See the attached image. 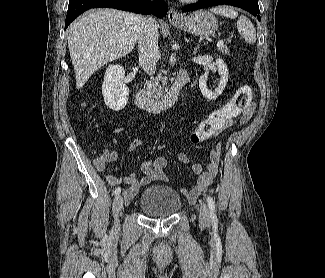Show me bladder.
I'll list each match as a JSON object with an SVG mask.
<instances>
[{
    "mask_svg": "<svg viewBox=\"0 0 325 278\" xmlns=\"http://www.w3.org/2000/svg\"><path fill=\"white\" fill-rule=\"evenodd\" d=\"M181 196L174 188L165 185H152L143 190L139 207L150 217H169L181 208Z\"/></svg>",
    "mask_w": 325,
    "mask_h": 278,
    "instance_id": "1",
    "label": "bladder"
}]
</instances>
